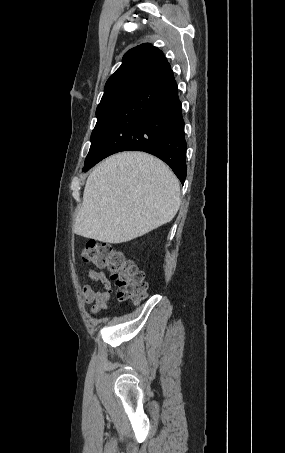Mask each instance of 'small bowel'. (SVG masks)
I'll use <instances>...</instances> for the list:
<instances>
[{
    "label": "small bowel",
    "mask_w": 285,
    "mask_h": 453,
    "mask_svg": "<svg viewBox=\"0 0 285 453\" xmlns=\"http://www.w3.org/2000/svg\"><path fill=\"white\" fill-rule=\"evenodd\" d=\"M87 277L101 285L99 290H94L90 285L82 287V295L86 304H91V313L97 314L107 308L110 300L111 282L102 271L90 269Z\"/></svg>",
    "instance_id": "c3829d8e"
}]
</instances>
